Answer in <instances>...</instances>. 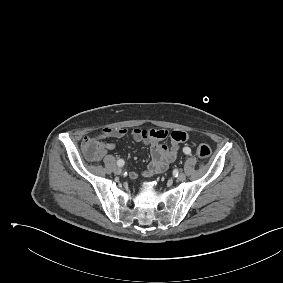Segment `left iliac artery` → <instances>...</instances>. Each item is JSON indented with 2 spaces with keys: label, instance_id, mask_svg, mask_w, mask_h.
Segmentation results:
<instances>
[{
  "label": "left iliac artery",
  "instance_id": "1",
  "mask_svg": "<svg viewBox=\"0 0 283 283\" xmlns=\"http://www.w3.org/2000/svg\"><path fill=\"white\" fill-rule=\"evenodd\" d=\"M190 148H188V147H185L184 149H183V152L185 153V154H190Z\"/></svg>",
  "mask_w": 283,
  "mask_h": 283
}]
</instances>
